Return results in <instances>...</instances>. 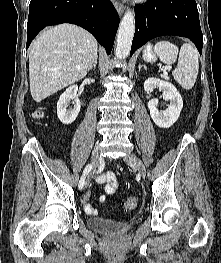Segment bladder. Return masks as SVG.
<instances>
[{
  "mask_svg": "<svg viewBox=\"0 0 221 263\" xmlns=\"http://www.w3.org/2000/svg\"><path fill=\"white\" fill-rule=\"evenodd\" d=\"M89 228L107 234H123L128 231L131 224L127 221H117L102 217H92L88 220Z\"/></svg>",
  "mask_w": 221,
  "mask_h": 263,
  "instance_id": "31cf9c89",
  "label": "bladder"
}]
</instances>
